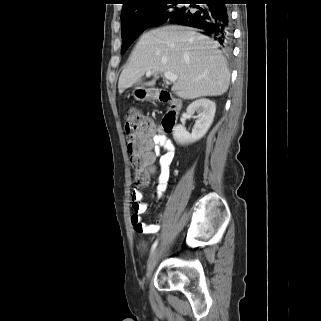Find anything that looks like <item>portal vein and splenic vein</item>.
<instances>
[{"mask_svg":"<svg viewBox=\"0 0 321 321\" xmlns=\"http://www.w3.org/2000/svg\"><path fill=\"white\" fill-rule=\"evenodd\" d=\"M152 71H148V72H146V76H150V75H152ZM164 77L167 79V80H169L170 82H175L176 80H177V75H175L174 73H170V72H165L164 73Z\"/></svg>","mask_w":321,"mask_h":321,"instance_id":"1","label":"portal vein and splenic vein"}]
</instances>
